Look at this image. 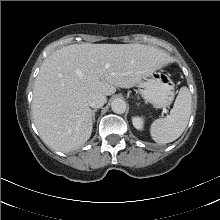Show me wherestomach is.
<instances>
[{
  "instance_id": "stomach-1",
  "label": "stomach",
  "mask_w": 220,
  "mask_h": 220,
  "mask_svg": "<svg viewBox=\"0 0 220 220\" xmlns=\"http://www.w3.org/2000/svg\"><path fill=\"white\" fill-rule=\"evenodd\" d=\"M142 97L157 108L168 107L174 98V84L164 73L153 71L138 83Z\"/></svg>"
}]
</instances>
